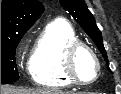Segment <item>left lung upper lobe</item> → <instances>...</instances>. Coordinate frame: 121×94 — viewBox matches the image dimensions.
<instances>
[{
    "label": "left lung upper lobe",
    "mask_w": 121,
    "mask_h": 94,
    "mask_svg": "<svg viewBox=\"0 0 121 94\" xmlns=\"http://www.w3.org/2000/svg\"><path fill=\"white\" fill-rule=\"evenodd\" d=\"M60 3L65 10L73 16L76 22L80 23L85 32L95 42L104 59L107 60V54L103 46L102 34L84 0H60Z\"/></svg>",
    "instance_id": "1"
}]
</instances>
